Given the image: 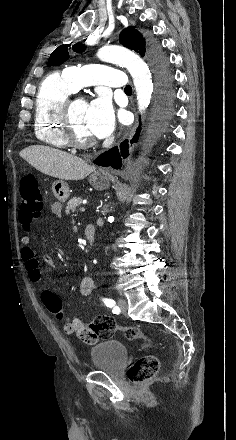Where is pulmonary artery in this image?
Masks as SVG:
<instances>
[{"label": "pulmonary artery", "mask_w": 236, "mask_h": 440, "mask_svg": "<svg viewBox=\"0 0 236 440\" xmlns=\"http://www.w3.org/2000/svg\"><path fill=\"white\" fill-rule=\"evenodd\" d=\"M64 76L76 91L83 86L103 85L125 89L128 82L124 73L107 65L71 66L65 69Z\"/></svg>", "instance_id": "e3ab8cb5"}]
</instances>
